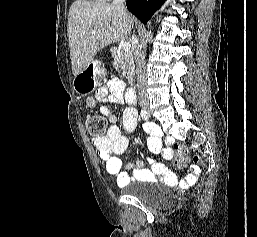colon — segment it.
Wrapping results in <instances>:
<instances>
[{
    "instance_id": "colon-1",
    "label": "colon",
    "mask_w": 257,
    "mask_h": 237,
    "mask_svg": "<svg viewBox=\"0 0 257 237\" xmlns=\"http://www.w3.org/2000/svg\"><path fill=\"white\" fill-rule=\"evenodd\" d=\"M85 122L89 133L93 137L102 138L105 136L107 132V122L104 118L97 114H87ZM174 152L178 164L182 165L183 163H185L184 158L188 153V148L183 145H176L174 147ZM195 160L198 161L199 158L195 157Z\"/></svg>"
}]
</instances>
